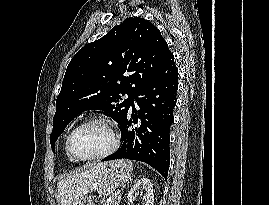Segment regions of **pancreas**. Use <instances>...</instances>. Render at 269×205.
Masks as SVG:
<instances>
[{
  "label": "pancreas",
  "mask_w": 269,
  "mask_h": 205,
  "mask_svg": "<svg viewBox=\"0 0 269 205\" xmlns=\"http://www.w3.org/2000/svg\"><path fill=\"white\" fill-rule=\"evenodd\" d=\"M120 198L116 195H112L110 200L106 201L103 205H119Z\"/></svg>",
  "instance_id": "obj_1"
}]
</instances>
